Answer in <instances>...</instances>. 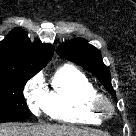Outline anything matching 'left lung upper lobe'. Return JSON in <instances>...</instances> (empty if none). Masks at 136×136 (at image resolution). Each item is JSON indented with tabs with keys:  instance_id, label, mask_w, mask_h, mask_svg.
I'll use <instances>...</instances> for the list:
<instances>
[{
	"instance_id": "5c2ea615",
	"label": "left lung upper lobe",
	"mask_w": 136,
	"mask_h": 136,
	"mask_svg": "<svg viewBox=\"0 0 136 136\" xmlns=\"http://www.w3.org/2000/svg\"><path fill=\"white\" fill-rule=\"evenodd\" d=\"M57 53L70 61H73L92 72L104 85L106 90L115 95V91L111 85V77L109 69L102 62L100 51L95 47L87 44L82 39L66 42L58 47Z\"/></svg>"
}]
</instances>
